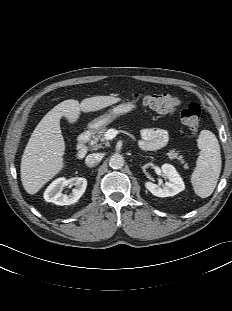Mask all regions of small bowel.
Masks as SVG:
<instances>
[{
	"label": "small bowel",
	"mask_w": 232,
	"mask_h": 311,
	"mask_svg": "<svg viewBox=\"0 0 232 311\" xmlns=\"http://www.w3.org/2000/svg\"><path fill=\"white\" fill-rule=\"evenodd\" d=\"M140 146L144 150H157L168 142V132L163 128H145L141 133Z\"/></svg>",
	"instance_id": "1"
}]
</instances>
